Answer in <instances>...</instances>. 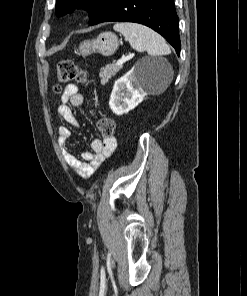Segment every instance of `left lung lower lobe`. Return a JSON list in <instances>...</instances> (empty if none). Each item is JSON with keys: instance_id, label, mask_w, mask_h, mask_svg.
<instances>
[{"instance_id": "0a47b994", "label": "left lung lower lobe", "mask_w": 247, "mask_h": 296, "mask_svg": "<svg viewBox=\"0 0 247 296\" xmlns=\"http://www.w3.org/2000/svg\"><path fill=\"white\" fill-rule=\"evenodd\" d=\"M178 20L174 0H109L89 25L108 21L140 23L161 34L180 55Z\"/></svg>"}]
</instances>
